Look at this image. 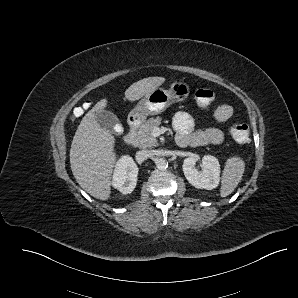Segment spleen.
Returning a JSON list of instances; mask_svg holds the SVG:
<instances>
[{
    "label": "spleen",
    "mask_w": 298,
    "mask_h": 298,
    "mask_svg": "<svg viewBox=\"0 0 298 298\" xmlns=\"http://www.w3.org/2000/svg\"><path fill=\"white\" fill-rule=\"evenodd\" d=\"M245 162L240 157L227 159L221 178L220 196L230 195L242 179Z\"/></svg>",
    "instance_id": "obj_1"
}]
</instances>
